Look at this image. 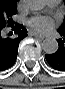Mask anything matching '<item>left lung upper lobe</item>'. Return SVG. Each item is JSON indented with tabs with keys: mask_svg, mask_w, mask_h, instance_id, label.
Returning <instances> with one entry per match:
<instances>
[{
	"mask_svg": "<svg viewBox=\"0 0 65 89\" xmlns=\"http://www.w3.org/2000/svg\"><path fill=\"white\" fill-rule=\"evenodd\" d=\"M58 31L65 33V18H64L63 24H62L61 27L58 29Z\"/></svg>",
	"mask_w": 65,
	"mask_h": 89,
	"instance_id": "obj_1",
	"label": "left lung upper lobe"
}]
</instances>
